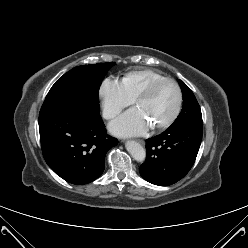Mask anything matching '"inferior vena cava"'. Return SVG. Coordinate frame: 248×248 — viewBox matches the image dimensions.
Wrapping results in <instances>:
<instances>
[{
	"mask_svg": "<svg viewBox=\"0 0 248 248\" xmlns=\"http://www.w3.org/2000/svg\"><path fill=\"white\" fill-rule=\"evenodd\" d=\"M116 114H117V111L112 110V109H104V111H103V117L105 119H111V118L115 117Z\"/></svg>",
	"mask_w": 248,
	"mask_h": 248,
	"instance_id": "602c4592",
	"label": "inferior vena cava"
}]
</instances>
